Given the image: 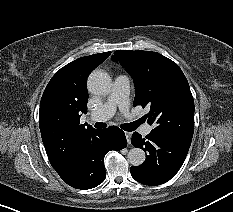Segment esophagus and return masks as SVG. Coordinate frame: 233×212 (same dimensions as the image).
Segmentation results:
<instances>
[{
	"mask_svg": "<svg viewBox=\"0 0 233 212\" xmlns=\"http://www.w3.org/2000/svg\"><path fill=\"white\" fill-rule=\"evenodd\" d=\"M125 136H126L127 142L130 144L131 133L130 132H125Z\"/></svg>",
	"mask_w": 233,
	"mask_h": 212,
	"instance_id": "obj_1",
	"label": "esophagus"
}]
</instances>
